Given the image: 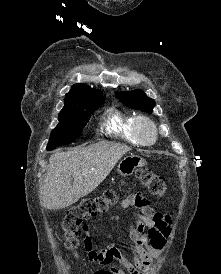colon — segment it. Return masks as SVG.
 Instances as JSON below:
<instances>
[{"instance_id": "colon-1", "label": "colon", "mask_w": 221, "mask_h": 274, "mask_svg": "<svg viewBox=\"0 0 221 274\" xmlns=\"http://www.w3.org/2000/svg\"><path fill=\"white\" fill-rule=\"evenodd\" d=\"M136 177L152 195L158 197L164 195L166 182L163 176L151 169L143 168L137 171ZM116 199V192L108 189L101 196L87 198L79 205L72 207L62 222L67 248L75 251L79 245L78 232L83 221L88 217L96 216L98 213L106 211L116 202Z\"/></svg>"}]
</instances>
